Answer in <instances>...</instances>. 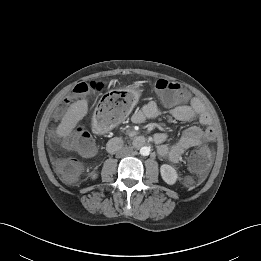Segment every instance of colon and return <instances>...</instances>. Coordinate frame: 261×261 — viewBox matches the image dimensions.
Here are the masks:
<instances>
[{
    "label": "colon",
    "mask_w": 261,
    "mask_h": 261,
    "mask_svg": "<svg viewBox=\"0 0 261 261\" xmlns=\"http://www.w3.org/2000/svg\"><path fill=\"white\" fill-rule=\"evenodd\" d=\"M94 82H81L74 86L75 95H83L97 88ZM151 89L160 95L166 104L185 103L188 100L187 90L180 84L165 79H158L151 83ZM131 108V101L121 91L107 94L102 101L100 121L106 127L114 125L122 120ZM67 150L79 152L85 156H92L96 151L94 139L88 129L79 127L75 132L63 140ZM210 155L204 149L191 153L188 161L190 170L197 174H203L209 167ZM55 169L61 178L67 183H75L81 174L82 165L73 157H62L55 161ZM186 181H190L189 178Z\"/></svg>",
    "instance_id": "obj_1"
}]
</instances>
